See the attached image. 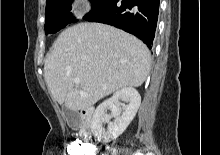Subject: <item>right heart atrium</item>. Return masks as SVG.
Here are the masks:
<instances>
[{
  "label": "right heart atrium",
  "instance_id": "d8ad5b80",
  "mask_svg": "<svg viewBox=\"0 0 220 155\" xmlns=\"http://www.w3.org/2000/svg\"><path fill=\"white\" fill-rule=\"evenodd\" d=\"M88 11H89V8L85 6L80 9L79 14L83 15V14L87 13Z\"/></svg>",
  "mask_w": 220,
  "mask_h": 155
}]
</instances>
